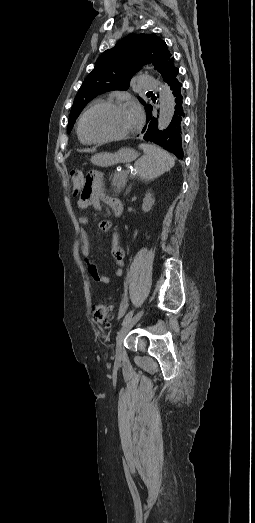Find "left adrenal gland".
<instances>
[{
	"label": "left adrenal gland",
	"instance_id": "1",
	"mask_svg": "<svg viewBox=\"0 0 255 523\" xmlns=\"http://www.w3.org/2000/svg\"><path fill=\"white\" fill-rule=\"evenodd\" d=\"M130 188H131V186H130ZM130 188H128V190H126V194H128V192H130Z\"/></svg>",
	"mask_w": 255,
	"mask_h": 523
}]
</instances>
